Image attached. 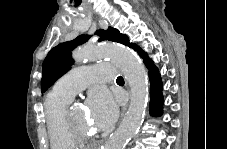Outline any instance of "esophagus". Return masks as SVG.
Wrapping results in <instances>:
<instances>
[{"label":"esophagus","instance_id":"esophagus-1","mask_svg":"<svg viewBox=\"0 0 227 149\" xmlns=\"http://www.w3.org/2000/svg\"><path fill=\"white\" fill-rule=\"evenodd\" d=\"M126 111H121V113H120V119H125V117H126Z\"/></svg>","mask_w":227,"mask_h":149}]
</instances>
